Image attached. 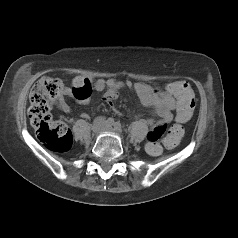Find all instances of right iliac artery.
<instances>
[{
    "mask_svg": "<svg viewBox=\"0 0 238 238\" xmlns=\"http://www.w3.org/2000/svg\"><path fill=\"white\" fill-rule=\"evenodd\" d=\"M113 124H114V119H113V118H108V119L106 120V125L112 126Z\"/></svg>",
    "mask_w": 238,
    "mask_h": 238,
    "instance_id": "1",
    "label": "right iliac artery"
}]
</instances>
